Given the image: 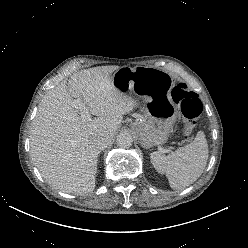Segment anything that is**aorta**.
Wrapping results in <instances>:
<instances>
[{"mask_svg":"<svg viewBox=\"0 0 248 248\" xmlns=\"http://www.w3.org/2000/svg\"><path fill=\"white\" fill-rule=\"evenodd\" d=\"M116 143L121 148H129L133 143V138L128 132H121L117 135Z\"/></svg>","mask_w":248,"mask_h":248,"instance_id":"762f6f07","label":"aorta"}]
</instances>
